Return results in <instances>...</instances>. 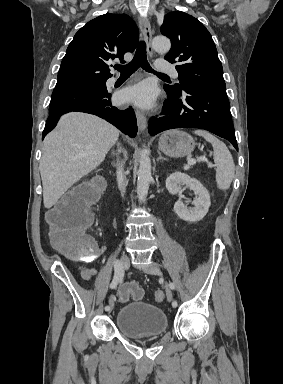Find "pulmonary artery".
Returning a JSON list of instances; mask_svg holds the SVG:
<instances>
[{"mask_svg": "<svg viewBox=\"0 0 283 384\" xmlns=\"http://www.w3.org/2000/svg\"><path fill=\"white\" fill-rule=\"evenodd\" d=\"M157 70L158 71H165L166 75H172V76H177L179 77V73L177 68H174L173 64H170L169 61H160L159 64L157 65ZM117 80V77L113 76L110 77L107 80V85L111 86L112 84L115 83Z\"/></svg>", "mask_w": 283, "mask_h": 384, "instance_id": "pulmonary-artery-1", "label": "pulmonary artery"}]
</instances>
